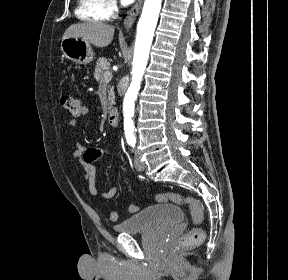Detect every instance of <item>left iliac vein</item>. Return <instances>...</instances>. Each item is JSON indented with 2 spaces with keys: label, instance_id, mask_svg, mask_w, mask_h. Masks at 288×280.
Instances as JSON below:
<instances>
[{
  "label": "left iliac vein",
  "instance_id": "left-iliac-vein-1",
  "mask_svg": "<svg viewBox=\"0 0 288 280\" xmlns=\"http://www.w3.org/2000/svg\"><path fill=\"white\" fill-rule=\"evenodd\" d=\"M134 165H135L137 170H143V168H144L143 163L139 160L137 155L135 156V159H134Z\"/></svg>",
  "mask_w": 288,
  "mask_h": 280
}]
</instances>
